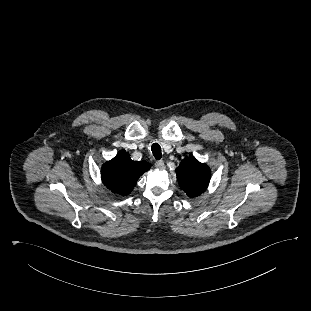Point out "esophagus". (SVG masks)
<instances>
[{
	"instance_id": "obj_1",
	"label": "esophagus",
	"mask_w": 311,
	"mask_h": 311,
	"mask_svg": "<svg viewBox=\"0 0 311 311\" xmlns=\"http://www.w3.org/2000/svg\"><path fill=\"white\" fill-rule=\"evenodd\" d=\"M155 167L158 168V169H164L165 168V164H164L163 161L160 160V161H157L155 163Z\"/></svg>"
}]
</instances>
